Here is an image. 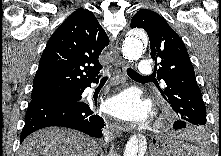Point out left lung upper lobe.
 I'll use <instances>...</instances> for the list:
<instances>
[{
	"label": "left lung upper lobe",
	"instance_id": "1",
	"mask_svg": "<svg viewBox=\"0 0 221 156\" xmlns=\"http://www.w3.org/2000/svg\"><path fill=\"white\" fill-rule=\"evenodd\" d=\"M143 28L150 40L151 57L158 63L160 92L175 114L187 124L205 125L206 108L195 79L187 49L178 34L156 12L140 9L131 20V28Z\"/></svg>",
	"mask_w": 221,
	"mask_h": 156
}]
</instances>
